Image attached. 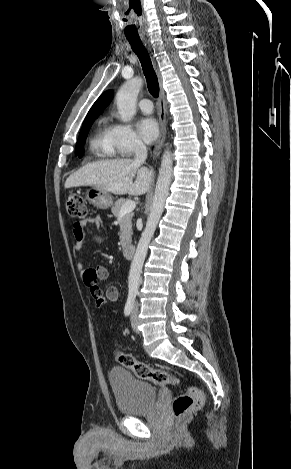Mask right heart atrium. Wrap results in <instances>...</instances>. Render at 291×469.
Listing matches in <instances>:
<instances>
[{"label": "right heart atrium", "instance_id": "d8ad5b80", "mask_svg": "<svg viewBox=\"0 0 291 469\" xmlns=\"http://www.w3.org/2000/svg\"><path fill=\"white\" fill-rule=\"evenodd\" d=\"M109 139L116 154L130 156L144 148V143L128 124L114 123L109 126Z\"/></svg>", "mask_w": 291, "mask_h": 469}]
</instances>
